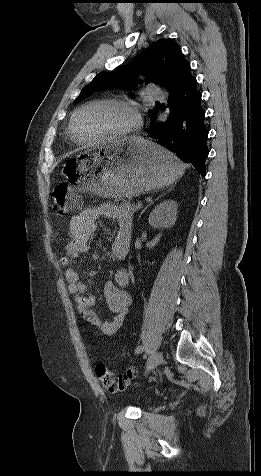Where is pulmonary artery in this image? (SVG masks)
<instances>
[{"mask_svg": "<svg viewBox=\"0 0 261 476\" xmlns=\"http://www.w3.org/2000/svg\"><path fill=\"white\" fill-rule=\"evenodd\" d=\"M147 93H148V96H149V98H150L151 100L161 101V100L164 99V94H163V92H162L159 88H157V87H155V86H150V87L148 88V92H147Z\"/></svg>", "mask_w": 261, "mask_h": 476, "instance_id": "1", "label": "pulmonary artery"}]
</instances>
